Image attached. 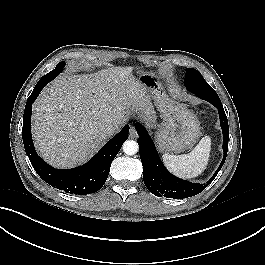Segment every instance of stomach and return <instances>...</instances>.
Listing matches in <instances>:
<instances>
[{
  "mask_svg": "<svg viewBox=\"0 0 265 265\" xmlns=\"http://www.w3.org/2000/svg\"><path fill=\"white\" fill-rule=\"evenodd\" d=\"M137 81L160 112L156 142L166 153H179L193 146L200 136L197 117L184 104L174 100L166 91L159 77L152 72L142 73Z\"/></svg>",
  "mask_w": 265,
  "mask_h": 265,
  "instance_id": "obj_1",
  "label": "stomach"
}]
</instances>
